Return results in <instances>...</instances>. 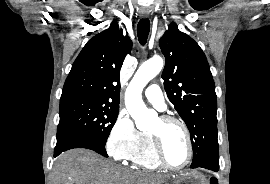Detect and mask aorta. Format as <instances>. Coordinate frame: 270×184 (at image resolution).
I'll return each instance as SVG.
<instances>
[{
  "mask_svg": "<svg viewBox=\"0 0 270 184\" xmlns=\"http://www.w3.org/2000/svg\"><path fill=\"white\" fill-rule=\"evenodd\" d=\"M162 67L163 59L160 56L152 57L138 68L126 89L125 105L139 130L149 129L157 118V113L148 109L144 104L142 91L148 82L159 74Z\"/></svg>",
  "mask_w": 270,
  "mask_h": 184,
  "instance_id": "obj_1",
  "label": "aorta"
}]
</instances>
